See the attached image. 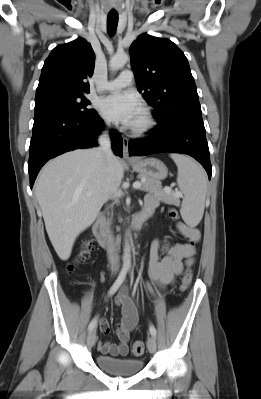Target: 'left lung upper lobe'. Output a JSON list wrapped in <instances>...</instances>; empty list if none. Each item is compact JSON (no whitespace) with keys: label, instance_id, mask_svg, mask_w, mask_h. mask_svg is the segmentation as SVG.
Listing matches in <instances>:
<instances>
[{"label":"left lung upper lobe","instance_id":"left-lung-upper-lobe-1","mask_svg":"<svg viewBox=\"0 0 261 399\" xmlns=\"http://www.w3.org/2000/svg\"><path fill=\"white\" fill-rule=\"evenodd\" d=\"M137 88L156 112L160 125L201 114L194 78L184 53L169 39L140 35L130 46Z\"/></svg>","mask_w":261,"mask_h":399}]
</instances>
